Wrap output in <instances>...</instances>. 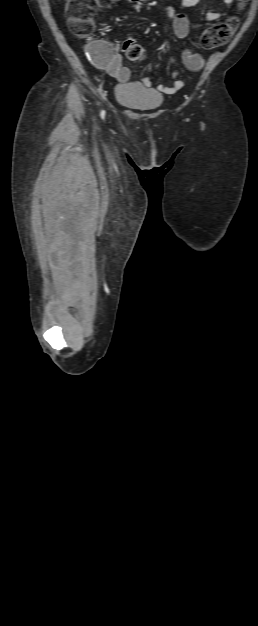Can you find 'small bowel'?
Masks as SVG:
<instances>
[{"mask_svg":"<svg viewBox=\"0 0 258 626\" xmlns=\"http://www.w3.org/2000/svg\"><path fill=\"white\" fill-rule=\"evenodd\" d=\"M201 0H182L181 8H190L196 6ZM226 6H231L234 0H223ZM165 11L168 17L172 20L173 30L175 35L184 39L189 33V20L181 12H177L175 8L168 4L165 6ZM222 14L218 11L210 10L205 14V18L209 21H216L220 19ZM101 54L99 57V65L110 76L115 78L121 83H126L130 78V70L122 65V56L112 48L109 42H101L98 45ZM183 62L185 66L191 71H198L204 65L205 59L203 56L195 53H191L187 50L183 52ZM175 78L172 86L158 85L157 90L165 94H173L179 91L183 87V82L177 78V73L174 72ZM143 85L151 87L152 83L148 77L142 79Z\"/></svg>","mask_w":258,"mask_h":626,"instance_id":"c3829d8e","label":"small bowel"}]
</instances>
